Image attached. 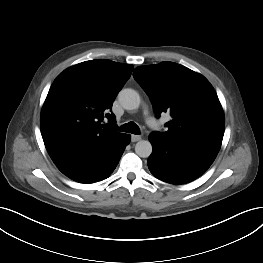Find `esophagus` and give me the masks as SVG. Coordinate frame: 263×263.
Segmentation results:
<instances>
[{"label": "esophagus", "mask_w": 263, "mask_h": 263, "mask_svg": "<svg viewBox=\"0 0 263 263\" xmlns=\"http://www.w3.org/2000/svg\"><path fill=\"white\" fill-rule=\"evenodd\" d=\"M141 140V136L140 135H131V141L132 142H137Z\"/></svg>", "instance_id": "34e87169"}]
</instances>
